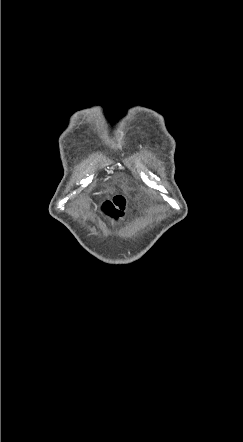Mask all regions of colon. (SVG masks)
Segmentation results:
<instances>
[{
  "label": "colon",
  "instance_id": "5ec220e1",
  "mask_svg": "<svg viewBox=\"0 0 243 442\" xmlns=\"http://www.w3.org/2000/svg\"><path fill=\"white\" fill-rule=\"evenodd\" d=\"M125 208L126 199L122 195H117L100 206L101 212L111 216L114 222H118L122 218Z\"/></svg>",
  "mask_w": 243,
  "mask_h": 442
}]
</instances>
